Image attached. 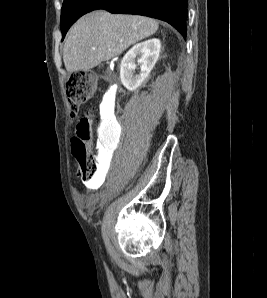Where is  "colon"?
<instances>
[{
	"mask_svg": "<svg viewBox=\"0 0 267 298\" xmlns=\"http://www.w3.org/2000/svg\"><path fill=\"white\" fill-rule=\"evenodd\" d=\"M96 89V77L90 72L73 73L66 83V95L72 115L86 103ZM92 135L91 117L82 118L77 124L76 136L71 139V150L78 164V173L83 181L95 180L99 159L90 154L88 141Z\"/></svg>",
	"mask_w": 267,
	"mask_h": 298,
	"instance_id": "5ec220e1",
	"label": "colon"
}]
</instances>
